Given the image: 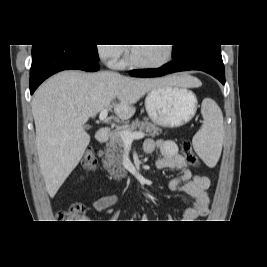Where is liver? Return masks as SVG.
Segmentation results:
<instances>
[{
  "label": "liver",
  "mask_w": 267,
  "mask_h": 267,
  "mask_svg": "<svg viewBox=\"0 0 267 267\" xmlns=\"http://www.w3.org/2000/svg\"><path fill=\"white\" fill-rule=\"evenodd\" d=\"M169 85L199 87L202 83L186 74L131 78L110 71H63L43 83L31 106L39 165L49 196H55L81 160L90 142L84 129L90 117L113 108L121 120H127L146 93Z\"/></svg>",
  "instance_id": "1"
}]
</instances>
